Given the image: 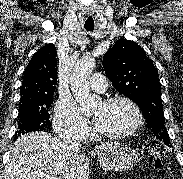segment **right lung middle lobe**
I'll return each instance as SVG.
<instances>
[{
    "instance_id": "obj_1",
    "label": "right lung middle lobe",
    "mask_w": 183,
    "mask_h": 179,
    "mask_svg": "<svg viewBox=\"0 0 183 179\" xmlns=\"http://www.w3.org/2000/svg\"><path fill=\"white\" fill-rule=\"evenodd\" d=\"M52 102L53 96L20 101L15 139L28 132L43 131L49 128L48 109Z\"/></svg>"
}]
</instances>
